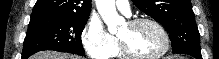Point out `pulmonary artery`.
Instances as JSON below:
<instances>
[{
  "label": "pulmonary artery",
  "mask_w": 219,
  "mask_h": 59,
  "mask_svg": "<svg viewBox=\"0 0 219 59\" xmlns=\"http://www.w3.org/2000/svg\"><path fill=\"white\" fill-rule=\"evenodd\" d=\"M116 7L125 15L129 16L131 14L129 1L118 0L115 1Z\"/></svg>",
  "instance_id": "pulmonary-artery-1"
}]
</instances>
